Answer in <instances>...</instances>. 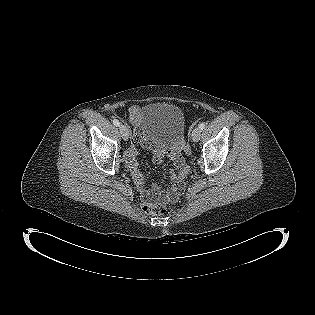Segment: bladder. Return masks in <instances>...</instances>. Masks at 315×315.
I'll return each instance as SVG.
<instances>
[{"instance_id": "bladder-1", "label": "bladder", "mask_w": 315, "mask_h": 315, "mask_svg": "<svg viewBox=\"0 0 315 315\" xmlns=\"http://www.w3.org/2000/svg\"><path fill=\"white\" fill-rule=\"evenodd\" d=\"M139 130L147 141L162 146L177 145L185 134L184 113L175 105H147L140 112Z\"/></svg>"}]
</instances>
